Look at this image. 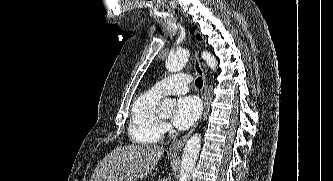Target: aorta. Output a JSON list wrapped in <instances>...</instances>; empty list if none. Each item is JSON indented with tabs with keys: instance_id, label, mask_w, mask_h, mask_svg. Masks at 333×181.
Instances as JSON below:
<instances>
[{
	"instance_id": "1",
	"label": "aorta",
	"mask_w": 333,
	"mask_h": 181,
	"mask_svg": "<svg viewBox=\"0 0 333 181\" xmlns=\"http://www.w3.org/2000/svg\"><path fill=\"white\" fill-rule=\"evenodd\" d=\"M189 50L183 49L176 52L174 55L169 56L166 60V69L172 73L179 72L183 69L189 58ZM202 58L206 61L207 65L215 71L217 68L216 58L208 51L202 52ZM174 100L165 98L161 103L162 109H170L174 106ZM201 147V135L196 133L193 134L185 144L182 161L180 176L178 181H189L190 175L195 167L198 159L199 151Z\"/></svg>"
}]
</instances>
